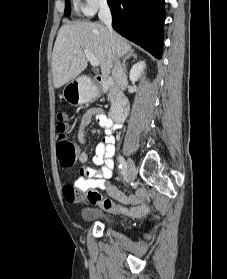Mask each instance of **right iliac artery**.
<instances>
[{"label":"right iliac artery","instance_id":"82829eb1","mask_svg":"<svg viewBox=\"0 0 227 279\" xmlns=\"http://www.w3.org/2000/svg\"><path fill=\"white\" fill-rule=\"evenodd\" d=\"M119 168L121 170V174L125 175L127 172L126 162L122 156H119Z\"/></svg>","mask_w":227,"mask_h":279}]
</instances>
